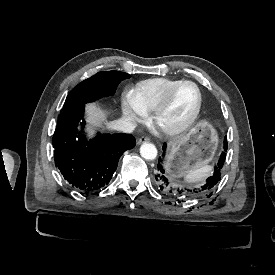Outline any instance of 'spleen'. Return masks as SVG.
Returning <instances> with one entry per match:
<instances>
[{
  "mask_svg": "<svg viewBox=\"0 0 275 275\" xmlns=\"http://www.w3.org/2000/svg\"><path fill=\"white\" fill-rule=\"evenodd\" d=\"M211 166H202L198 169H192L186 176L187 182H195L198 179H204L210 176Z\"/></svg>",
  "mask_w": 275,
  "mask_h": 275,
  "instance_id": "spleen-1",
  "label": "spleen"
}]
</instances>
